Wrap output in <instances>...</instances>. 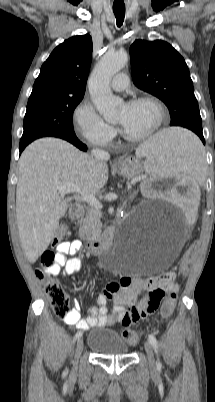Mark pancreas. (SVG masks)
Instances as JSON below:
<instances>
[{"label":"pancreas","mask_w":215,"mask_h":402,"mask_svg":"<svg viewBox=\"0 0 215 402\" xmlns=\"http://www.w3.org/2000/svg\"><path fill=\"white\" fill-rule=\"evenodd\" d=\"M101 214L98 210L90 208L85 217L78 221L79 237L81 240L93 241L101 234Z\"/></svg>","instance_id":"obj_1"}]
</instances>
